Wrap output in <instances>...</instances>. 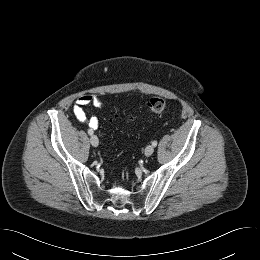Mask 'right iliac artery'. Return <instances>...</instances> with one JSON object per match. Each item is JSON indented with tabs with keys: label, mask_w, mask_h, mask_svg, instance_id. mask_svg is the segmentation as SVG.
<instances>
[{
	"label": "right iliac artery",
	"mask_w": 260,
	"mask_h": 260,
	"mask_svg": "<svg viewBox=\"0 0 260 260\" xmlns=\"http://www.w3.org/2000/svg\"><path fill=\"white\" fill-rule=\"evenodd\" d=\"M88 134L89 135H92L93 134V131L91 129L88 130Z\"/></svg>",
	"instance_id": "82829eb1"
}]
</instances>
